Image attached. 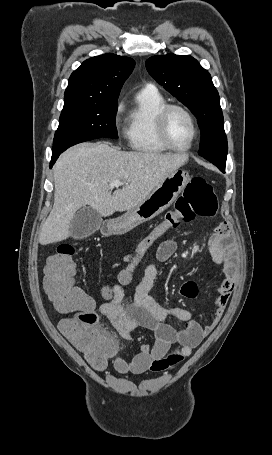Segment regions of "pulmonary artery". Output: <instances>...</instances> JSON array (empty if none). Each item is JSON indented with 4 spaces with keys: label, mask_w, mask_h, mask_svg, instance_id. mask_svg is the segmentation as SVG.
<instances>
[{
    "label": "pulmonary artery",
    "mask_w": 272,
    "mask_h": 455,
    "mask_svg": "<svg viewBox=\"0 0 272 455\" xmlns=\"http://www.w3.org/2000/svg\"><path fill=\"white\" fill-rule=\"evenodd\" d=\"M146 87H148V88H155V87H154L153 85H151V84H148Z\"/></svg>",
    "instance_id": "obj_1"
}]
</instances>
